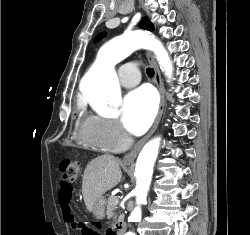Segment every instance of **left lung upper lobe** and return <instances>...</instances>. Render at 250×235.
Instances as JSON below:
<instances>
[{
	"label": "left lung upper lobe",
	"mask_w": 250,
	"mask_h": 235,
	"mask_svg": "<svg viewBox=\"0 0 250 235\" xmlns=\"http://www.w3.org/2000/svg\"><path fill=\"white\" fill-rule=\"evenodd\" d=\"M139 26H140V28H143V29H146V30H149V31H152L154 29L152 23L150 22V20L147 17L143 18V20L141 21ZM104 36H105V33L99 34L96 37V41L102 39Z\"/></svg>",
	"instance_id": "1"
}]
</instances>
